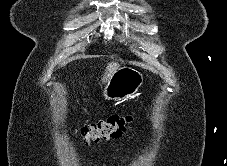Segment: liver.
Returning <instances> with one entry per match:
<instances>
[{"label":"liver","instance_id":"1","mask_svg":"<svg viewBox=\"0 0 227 166\" xmlns=\"http://www.w3.org/2000/svg\"><path fill=\"white\" fill-rule=\"evenodd\" d=\"M118 69H119V64L117 62L108 63L104 76L102 78V82L103 83L107 82L110 79V77L113 75V73Z\"/></svg>","mask_w":227,"mask_h":166}]
</instances>
